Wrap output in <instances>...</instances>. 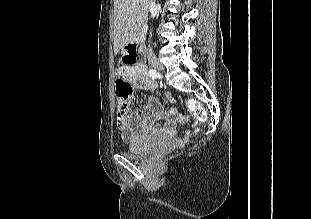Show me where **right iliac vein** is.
Instances as JSON below:
<instances>
[{"mask_svg":"<svg viewBox=\"0 0 311 219\" xmlns=\"http://www.w3.org/2000/svg\"><path fill=\"white\" fill-rule=\"evenodd\" d=\"M149 63L158 71H162L163 70V66L161 64V62L157 59V57L151 55L148 58Z\"/></svg>","mask_w":311,"mask_h":219,"instance_id":"63e3f726","label":"right iliac vein"}]
</instances>
